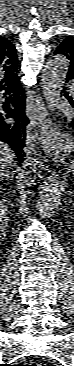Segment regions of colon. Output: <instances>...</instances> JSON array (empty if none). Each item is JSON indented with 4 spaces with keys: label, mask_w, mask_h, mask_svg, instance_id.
<instances>
[{
    "label": "colon",
    "mask_w": 74,
    "mask_h": 366,
    "mask_svg": "<svg viewBox=\"0 0 74 366\" xmlns=\"http://www.w3.org/2000/svg\"><path fill=\"white\" fill-rule=\"evenodd\" d=\"M28 366H44V365H41V364H29Z\"/></svg>",
    "instance_id": "5ec220e1"
}]
</instances>
